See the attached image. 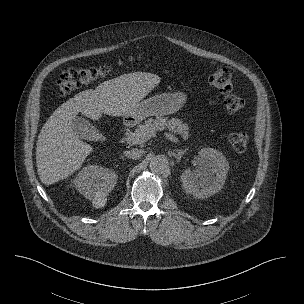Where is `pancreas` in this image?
<instances>
[{
  "label": "pancreas",
  "instance_id": "1",
  "mask_svg": "<svg viewBox=\"0 0 304 304\" xmlns=\"http://www.w3.org/2000/svg\"><path fill=\"white\" fill-rule=\"evenodd\" d=\"M168 129L179 134L183 139L189 138V127L178 118L167 119L164 117L149 118L144 124H140L135 130L136 144H143L155 135L156 132ZM133 134V133H132ZM131 135V134H130Z\"/></svg>",
  "mask_w": 304,
  "mask_h": 304
}]
</instances>
